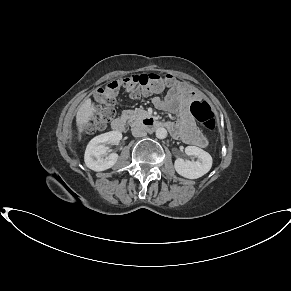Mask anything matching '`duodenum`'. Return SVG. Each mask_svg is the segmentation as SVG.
<instances>
[{
	"instance_id": "obj_1",
	"label": "duodenum",
	"mask_w": 291,
	"mask_h": 291,
	"mask_svg": "<svg viewBox=\"0 0 291 291\" xmlns=\"http://www.w3.org/2000/svg\"><path fill=\"white\" fill-rule=\"evenodd\" d=\"M124 124V117H117L111 123L112 128L116 131H122L124 128ZM143 125L151 129H157L162 127L163 123L159 120L154 119L152 116H147L143 119Z\"/></svg>"
}]
</instances>
